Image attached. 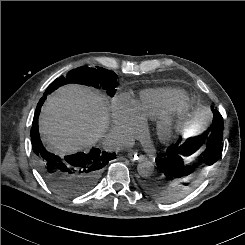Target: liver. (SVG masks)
I'll return each mask as SVG.
<instances>
[{
  "label": "liver",
  "mask_w": 245,
  "mask_h": 245,
  "mask_svg": "<svg viewBox=\"0 0 245 245\" xmlns=\"http://www.w3.org/2000/svg\"><path fill=\"white\" fill-rule=\"evenodd\" d=\"M103 96L84 86L67 85L48 97L40 114V134L46 147L65 155L93 145L108 127Z\"/></svg>",
  "instance_id": "6515ba94"
}]
</instances>
